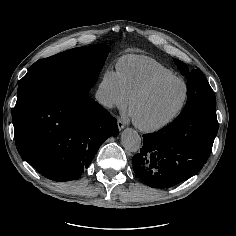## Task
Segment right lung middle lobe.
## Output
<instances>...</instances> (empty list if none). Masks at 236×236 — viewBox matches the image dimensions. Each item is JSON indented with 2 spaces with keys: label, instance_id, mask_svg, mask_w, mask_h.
Returning <instances> with one entry per match:
<instances>
[{
  "label": "right lung middle lobe",
  "instance_id": "dd1d6c3e",
  "mask_svg": "<svg viewBox=\"0 0 236 236\" xmlns=\"http://www.w3.org/2000/svg\"><path fill=\"white\" fill-rule=\"evenodd\" d=\"M108 51V45L95 44L36 61L19 82L17 100L36 90L78 81L86 82L90 89L97 80Z\"/></svg>",
  "mask_w": 236,
  "mask_h": 236
}]
</instances>
